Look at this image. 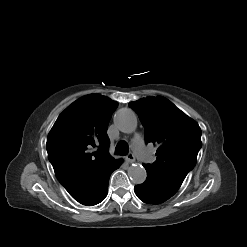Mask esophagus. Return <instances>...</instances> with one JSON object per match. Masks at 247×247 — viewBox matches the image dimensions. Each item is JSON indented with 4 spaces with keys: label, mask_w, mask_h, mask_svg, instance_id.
<instances>
[{
    "label": "esophagus",
    "mask_w": 247,
    "mask_h": 247,
    "mask_svg": "<svg viewBox=\"0 0 247 247\" xmlns=\"http://www.w3.org/2000/svg\"><path fill=\"white\" fill-rule=\"evenodd\" d=\"M126 161L128 162V163H134L135 162V157H134V155L132 154V153H129L128 155H127V157H126Z\"/></svg>",
    "instance_id": "1"
}]
</instances>
